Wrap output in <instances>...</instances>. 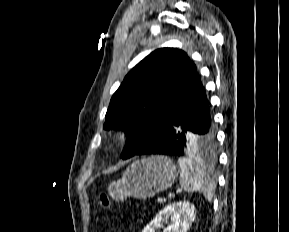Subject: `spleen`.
Instances as JSON below:
<instances>
[{
    "label": "spleen",
    "instance_id": "spleen-1",
    "mask_svg": "<svg viewBox=\"0 0 289 232\" xmlns=\"http://www.w3.org/2000/svg\"><path fill=\"white\" fill-rule=\"evenodd\" d=\"M180 185L186 192H200L209 202L214 195V186L199 163L190 158H179Z\"/></svg>",
    "mask_w": 289,
    "mask_h": 232
}]
</instances>
